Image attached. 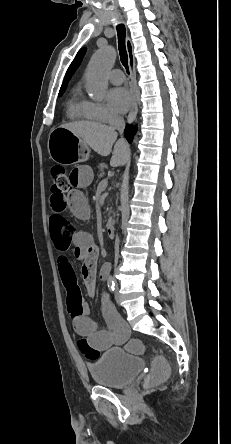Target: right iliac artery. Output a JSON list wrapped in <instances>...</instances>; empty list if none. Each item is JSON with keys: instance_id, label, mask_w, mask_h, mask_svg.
<instances>
[{"instance_id": "82829eb1", "label": "right iliac artery", "mask_w": 231, "mask_h": 444, "mask_svg": "<svg viewBox=\"0 0 231 444\" xmlns=\"http://www.w3.org/2000/svg\"><path fill=\"white\" fill-rule=\"evenodd\" d=\"M114 287H115V283H114L113 277L110 275L108 277V288L111 292H113L115 289Z\"/></svg>"}]
</instances>
